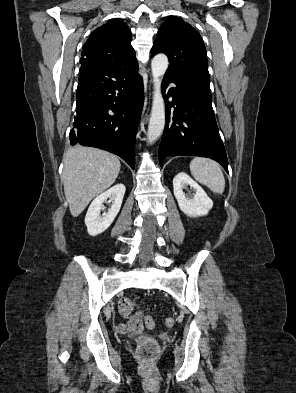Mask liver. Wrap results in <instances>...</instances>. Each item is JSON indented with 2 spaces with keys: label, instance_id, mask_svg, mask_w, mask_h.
Returning a JSON list of instances; mask_svg holds the SVG:
<instances>
[{
  "label": "liver",
  "instance_id": "1",
  "mask_svg": "<svg viewBox=\"0 0 296 393\" xmlns=\"http://www.w3.org/2000/svg\"><path fill=\"white\" fill-rule=\"evenodd\" d=\"M62 181L73 217L79 216L90 201L108 189L120 171V161L111 153L76 146L63 156Z\"/></svg>",
  "mask_w": 296,
  "mask_h": 393
}]
</instances>
